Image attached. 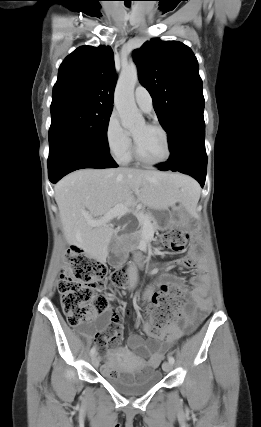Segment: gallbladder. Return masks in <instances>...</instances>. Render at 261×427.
<instances>
[{
    "instance_id": "obj_1",
    "label": "gallbladder",
    "mask_w": 261,
    "mask_h": 427,
    "mask_svg": "<svg viewBox=\"0 0 261 427\" xmlns=\"http://www.w3.org/2000/svg\"><path fill=\"white\" fill-rule=\"evenodd\" d=\"M113 244L114 243L112 241L111 246H113ZM108 261L112 265H118L119 263H121L123 261V255L121 252L115 253L114 251H112L109 254Z\"/></svg>"
}]
</instances>
